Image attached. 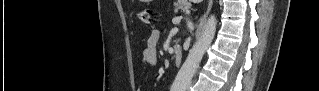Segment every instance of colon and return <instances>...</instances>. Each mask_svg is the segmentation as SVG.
Segmentation results:
<instances>
[{"instance_id": "1", "label": "colon", "mask_w": 319, "mask_h": 91, "mask_svg": "<svg viewBox=\"0 0 319 91\" xmlns=\"http://www.w3.org/2000/svg\"><path fill=\"white\" fill-rule=\"evenodd\" d=\"M139 20L145 25L152 24V11L150 8H144L138 13Z\"/></svg>"}]
</instances>
